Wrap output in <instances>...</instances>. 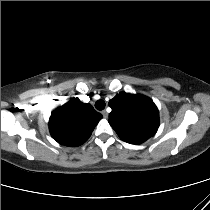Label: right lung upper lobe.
<instances>
[{"mask_svg": "<svg viewBox=\"0 0 210 210\" xmlns=\"http://www.w3.org/2000/svg\"><path fill=\"white\" fill-rule=\"evenodd\" d=\"M102 115L91 104L73 98L51 114L50 133L65 146H79L91 135Z\"/></svg>", "mask_w": 210, "mask_h": 210, "instance_id": "1", "label": "right lung upper lobe"}]
</instances>
